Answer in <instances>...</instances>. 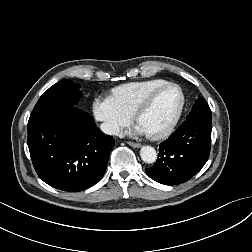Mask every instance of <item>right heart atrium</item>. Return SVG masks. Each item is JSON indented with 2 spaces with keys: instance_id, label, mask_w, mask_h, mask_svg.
<instances>
[{
  "instance_id": "right-heart-atrium-1",
  "label": "right heart atrium",
  "mask_w": 252,
  "mask_h": 252,
  "mask_svg": "<svg viewBox=\"0 0 252 252\" xmlns=\"http://www.w3.org/2000/svg\"><path fill=\"white\" fill-rule=\"evenodd\" d=\"M92 112L103 132L109 135H118L133 119V115L111 96H96L92 101Z\"/></svg>"
}]
</instances>
